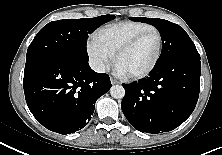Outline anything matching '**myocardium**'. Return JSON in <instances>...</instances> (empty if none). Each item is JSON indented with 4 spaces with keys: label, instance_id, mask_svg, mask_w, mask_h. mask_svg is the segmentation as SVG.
Segmentation results:
<instances>
[{
    "label": "myocardium",
    "instance_id": "1",
    "mask_svg": "<svg viewBox=\"0 0 222 155\" xmlns=\"http://www.w3.org/2000/svg\"><path fill=\"white\" fill-rule=\"evenodd\" d=\"M151 32H155L159 38V47H158V52H157L156 58L153 61V63L146 70H144L140 73L130 74L129 77L131 79H135V80L143 79V78L149 76L155 70V68L157 67V65L159 64V62L161 60L162 53H163L164 39H163L162 33L156 27L144 30V31L140 32L139 34H137L136 36H134L133 38H131L126 43H124L122 46H120L115 53V60L118 62L119 57L123 53L132 49L143 37H145L147 34H149Z\"/></svg>",
    "mask_w": 222,
    "mask_h": 155
}]
</instances>
